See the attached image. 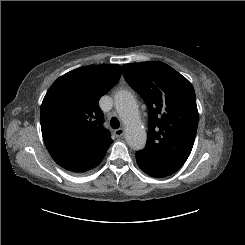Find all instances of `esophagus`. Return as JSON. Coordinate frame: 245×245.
<instances>
[{"label":"esophagus","instance_id":"1","mask_svg":"<svg viewBox=\"0 0 245 245\" xmlns=\"http://www.w3.org/2000/svg\"><path fill=\"white\" fill-rule=\"evenodd\" d=\"M114 133H115V135H116L117 137H122V136L124 135L125 131H124L123 128H120V129L115 130Z\"/></svg>","mask_w":245,"mask_h":245}]
</instances>
